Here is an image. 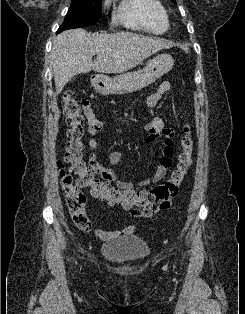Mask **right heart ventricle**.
<instances>
[{
    "label": "right heart ventricle",
    "mask_w": 245,
    "mask_h": 314,
    "mask_svg": "<svg viewBox=\"0 0 245 314\" xmlns=\"http://www.w3.org/2000/svg\"><path fill=\"white\" fill-rule=\"evenodd\" d=\"M115 20L132 30L161 34L169 28V17L161 0H121Z\"/></svg>",
    "instance_id": "obj_1"
}]
</instances>
